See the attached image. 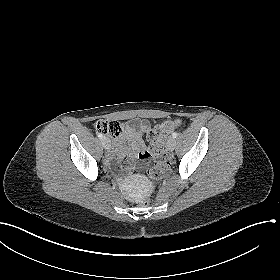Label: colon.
Here are the masks:
<instances>
[{"label":"colon","mask_w":280,"mask_h":280,"mask_svg":"<svg viewBox=\"0 0 280 280\" xmlns=\"http://www.w3.org/2000/svg\"><path fill=\"white\" fill-rule=\"evenodd\" d=\"M178 123L179 122L177 120L164 121L163 123L151 129L147 134V138L154 157V164L148 170V174L153 179H162L170 164L165 146V138L175 127L178 126ZM95 129L99 133L109 135L111 137L119 136L122 131L118 122L110 120L97 121L95 124ZM139 204L142 207H148L151 204V198L149 196H144L140 200Z\"/></svg>","instance_id":"obj_1"}]
</instances>
